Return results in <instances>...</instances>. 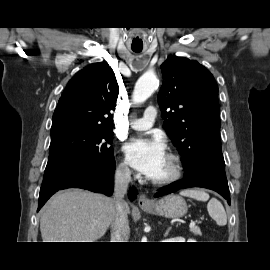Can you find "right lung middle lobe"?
<instances>
[{
  "mask_svg": "<svg viewBox=\"0 0 270 270\" xmlns=\"http://www.w3.org/2000/svg\"><path fill=\"white\" fill-rule=\"evenodd\" d=\"M112 128L65 124L51 128V144L47 165L60 159L89 155L102 167L115 162Z\"/></svg>",
  "mask_w": 270,
  "mask_h": 270,
  "instance_id": "right-lung-middle-lobe-1",
  "label": "right lung middle lobe"
}]
</instances>
